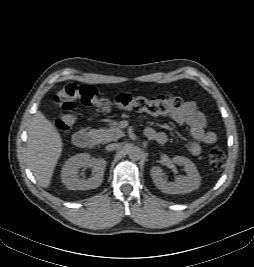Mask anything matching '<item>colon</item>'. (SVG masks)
I'll list each match as a JSON object with an SVG mask.
<instances>
[{"label":"colon","instance_id":"colon-1","mask_svg":"<svg viewBox=\"0 0 254 267\" xmlns=\"http://www.w3.org/2000/svg\"><path fill=\"white\" fill-rule=\"evenodd\" d=\"M55 100L63 110V113L55 121L56 128L62 132L70 130L76 123L75 109L77 103L93 106L101 112H107L116 107L143 111L154 116L171 114L182 104L180 97L170 93L156 97L121 93L113 99H108L101 97L96 88L86 84H67L58 92ZM208 160L212 170L220 171L225 165L226 156L222 150L214 148L209 152Z\"/></svg>","mask_w":254,"mask_h":267}]
</instances>
